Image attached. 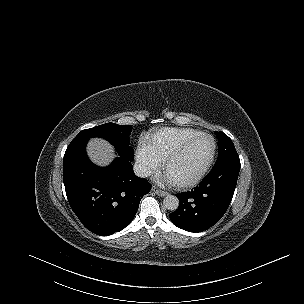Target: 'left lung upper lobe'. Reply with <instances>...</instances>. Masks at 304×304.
Listing matches in <instances>:
<instances>
[{"label": "left lung upper lobe", "mask_w": 304, "mask_h": 304, "mask_svg": "<svg viewBox=\"0 0 304 304\" xmlns=\"http://www.w3.org/2000/svg\"><path fill=\"white\" fill-rule=\"evenodd\" d=\"M218 138V158L213 168L225 164L229 161L239 160V156L232 140L222 132H215Z\"/></svg>", "instance_id": "1"}]
</instances>
